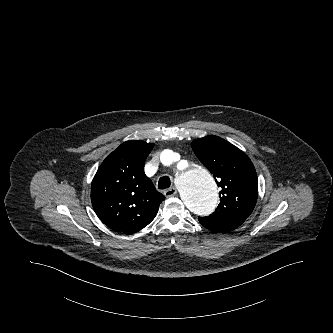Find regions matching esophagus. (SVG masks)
<instances>
[{
  "label": "esophagus",
  "mask_w": 333,
  "mask_h": 333,
  "mask_svg": "<svg viewBox=\"0 0 333 333\" xmlns=\"http://www.w3.org/2000/svg\"><path fill=\"white\" fill-rule=\"evenodd\" d=\"M176 194H177V190L175 187H171L164 191V195L166 198L174 197V196H176Z\"/></svg>",
  "instance_id": "1"
}]
</instances>
